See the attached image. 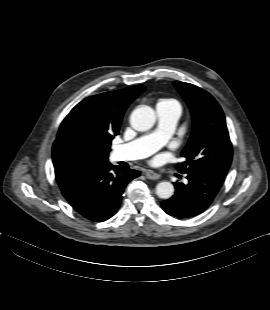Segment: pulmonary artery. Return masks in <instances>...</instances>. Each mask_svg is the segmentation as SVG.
I'll return each mask as SVG.
<instances>
[{"label":"pulmonary artery","instance_id":"pulmonary-artery-1","mask_svg":"<svg viewBox=\"0 0 270 310\" xmlns=\"http://www.w3.org/2000/svg\"><path fill=\"white\" fill-rule=\"evenodd\" d=\"M159 126L146 135L129 143L120 145L115 150L117 160H137L145 158L161 148L172 136L177 125L180 112L162 106L156 107Z\"/></svg>","mask_w":270,"mask_h":310}]
</instances>
